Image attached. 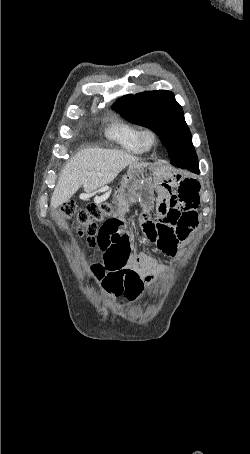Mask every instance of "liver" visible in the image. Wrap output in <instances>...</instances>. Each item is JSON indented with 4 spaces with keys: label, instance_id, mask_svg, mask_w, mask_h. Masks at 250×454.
Returning <instances> with one entry per match:
<instances>
[{
    "label": "liver",
    "instance_id": "6515ba94",
    "mask_svg": "<svg viewBox=\"0 0 250 454\" xmlns=\"http://www.w3.org/2000/svg\"><path fill=\"white\" fill-rule=\"evenodd\" d=\"M139 163V159L125 151L116 149L89 148L77 153L65 165L51 197V206L57 208L83 186L86 195L111 183L128 165Z\"/></svg>",
    "mask_w": 250,
    "mask_h": 454
}]
</instances>
